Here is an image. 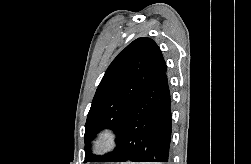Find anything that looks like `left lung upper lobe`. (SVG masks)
<instances>
[{"mask_svg":"<svg viewBox=\"0 0 251 164\" xmlns=\"http://www.w3.org/2000/svg\"><path fill=\"white\" fill-rule=\"evenodd\" d=\"M166 63L157 44L141 37L130 43L106 70L92 101L85 124V162H101L104 156L91 155L88 146L103 128L121 133L127 114L142 92L163 72Z\"/></svg>","mask_w":251,"mask_h":164,"instance_id":"1","label":"left lung upper lobe"}]
</instances>
